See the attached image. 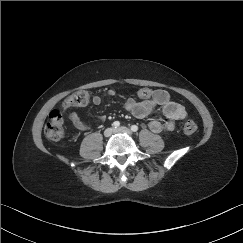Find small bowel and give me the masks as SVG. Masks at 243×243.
Masks as SVG:
<instances>
[{
	"label": "small bowel",
	"mask_w": 243,
	"mask_h": 243,
	"mask_svg": "<svg viewBox=\"0 0 243 243\" xmlns=\"http://www.w3.org/2000/svg\"><path fill=\"white\" fill-rule=\"evenodd\" d=\"M145 93L148 94L145 95ZM113 94V90L108 91V95L111 96ZM138 95L141 100L137 101L134 98H128L125 102V109L134 117L143 119L151 114L156 107H162L167 121L165 123L156 119L150 121L149 127L155 133L173 131L176 127V122L182 121L187 115L185 107L180 103L171 101L170 95L166 90L157 89L151 91L147 88H142L139 90ZM92 102L95 105H99L102 102V97L96 95L92 98ZM70 120L73 126L80 131H87L89 129V126L75 111L70 113ZM99 120L104 121L105 116H99Z\"/></svg>",
	"instance_id": "c3829d8e"
}]
</instances>
